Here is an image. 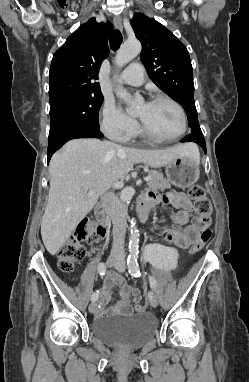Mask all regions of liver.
I'll return each instance as SVG.
<instances>
[{"instance_id": "liver-1", "label": "liver", "mask_w": 249, "mask_h": 382, "mask_svg": "<svg viewBox=\"0 0 249 382\" xmlns=\"http://www.w3.org/2000/svg\"><path fill=\"white\" fill-rule=\"evenodd\" d=\"M179 155L199 160L198 148L193 144L144 150L94 138L67 142L49 163V198L41 223V236L47 251L55 255L95 206L99 196L124 178L134 164L159 168ZM90 191H94V195L89 197Z\"/></svg>"}]
</instances>
